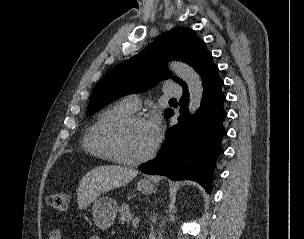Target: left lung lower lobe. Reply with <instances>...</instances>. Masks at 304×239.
Listing matches in <instances>:
<instances>
[{
	"label": "left lung lower lobe",
	"mask_w": 304,
	"mask_h": 239,
	"mask_svg": "<svg viewBox=\"0 0 304 239\" xmlns=\"http://www.w3.org/2000/svg\"><path fill=\"white\" fill-rule=\"evenodd\" d=\"M199 74L204 87L200 108L194 117L188 115L189 95L187 86L184 87L178 123L167 130L165 142L155 159L142 165L140 170L173 180H194L211 192L216 160L223 153L221 141L226 135L223 127L227 116L223 109L226 97L211 54ZM173 114L170 110L166 117Z\"/></svg>",
	"instance_id": "obj_1"
}]
</instances>
